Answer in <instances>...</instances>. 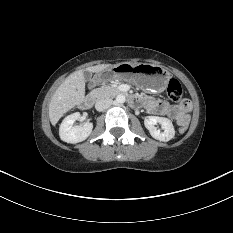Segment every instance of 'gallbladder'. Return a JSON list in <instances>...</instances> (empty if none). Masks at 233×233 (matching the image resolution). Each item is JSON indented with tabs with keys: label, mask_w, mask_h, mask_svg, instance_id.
<instances>
[{
	"label": "gallbladder",
	"mask_w": 233,
	"mask_h": 233,
	"mask_svg": "<svg viewBox=\"0 0 233 233\" xmlns=\"http://www.w3.org/2000/svg\"><path fill=\"white\" fill-rule=\"evenodd\" d=\"M83 76L86 82H89L91 80L92 74L88 71L83 72Z\"/></svg>",
	"instance_id": "bac80fb5"
}]
</instances>
